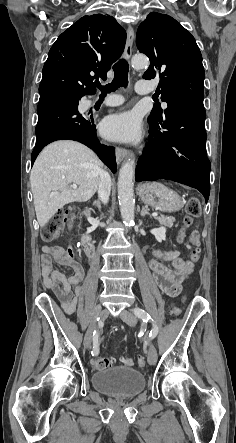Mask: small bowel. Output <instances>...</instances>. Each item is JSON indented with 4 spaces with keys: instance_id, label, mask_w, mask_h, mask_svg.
<instances>
[{
    "instance_id": "1",
    "label": "small bowel",
    "mask_w": 236,
    "mask_h": 443,
    "mask_svg": "<svg viewBox=\"0 0 236 443\" xmlns=\"http://www.w3.org/2000/svg\"><path fill=\"white\" fill-rule=\"evenodd\" d=\"M155 255L168 262L171 267L152 260L150 268L156 285L166 294L176 296L181 292L182 283L193 273V265L190 261L179 257L177 250H157ZM53 261L68 267L73 275L67 277L58 270L53 269ZM43 283L47 289L53 292L67 313H72L81 295V283L84 279V270L75 259L71 249L64 250L59 246H45L41 257Z\"/></svg>"
}]
</instances>
